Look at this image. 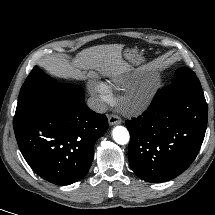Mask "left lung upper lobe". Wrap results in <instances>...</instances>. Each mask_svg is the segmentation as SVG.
Instances as JSON below:
<instances>
[{
  "label": "left lung upper lobe",
  "instance_id": "1",
  "mask_svg": "<svg viewBox=\"0 0 215 215\" xmlns=\"http://www.w3.org/2000/svg\"><path fill=\"white\" fill-rule=\"evenodd\" d=\"M172 84L185 88L202 90L201 84L195 73L189 68H180L176 70Z\"/></svg>",
  "mask_w": 215,
  "mask_h": 215
}]
</instances>
